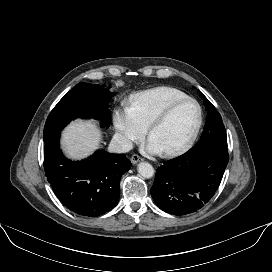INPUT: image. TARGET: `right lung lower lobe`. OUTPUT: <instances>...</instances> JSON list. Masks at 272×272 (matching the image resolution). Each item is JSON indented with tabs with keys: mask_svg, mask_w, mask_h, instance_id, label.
I'll use <instances>...</instances> for the list:
<instances>
[{
	"mask_svg": "<svg viewBox=\"0 0 272 272\" xmlns=\"http://www.w3.org/2000/svg\"><path fill=\"white\" fill-rule=\"evenodd\" d=\"M60 134L45 142L44 169L48 182L71 211L96 217L114 208L120 195L121 176L131 168L124 154L103 150L88 159L72 162L59 148Z\"/></svg>",
	"mask_w": 272,
	"mask_h": 272,
	"instance_id": "1",
	"label": "right lung lower lobe"
}]
</instances>
